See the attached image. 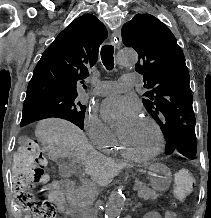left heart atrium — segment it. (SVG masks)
<instances>
[{"label": "left heart atrium", "instance_id": "39dd6f15", "mask_svg": "<svg viewBox=\"0 0 211 218\" xmlns=\"http://www.w3.org/2000/svg\"><path fill=\"white\" fill-rule=\"evenodd\" d=\"M101 113L104 120L113 126L120 137L129 133L142 119L140 104L132 96H115L105 100Z\"/></svg>", "mask_w": 211, "mask_h": 218}]
</instances>
